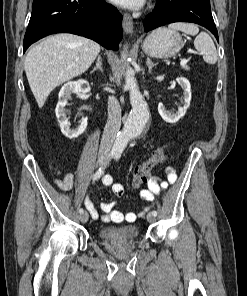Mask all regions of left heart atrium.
I'll return each mask as SVG.
<instances>
[{"label":"left heart atrium","instance_id":"1","mask_svg":"<svg viewBox=\"0 0 247 296\" xmlns=\"http://www.w3.org/2000/svg\"><path fill=\"white\" fill-rule=\"evenodd\" d=\"M114 4L130 9H137L141 7L144 3V0H110Z\"/></svg>","mask_w":247,"mask_h":296}]
</instances>
